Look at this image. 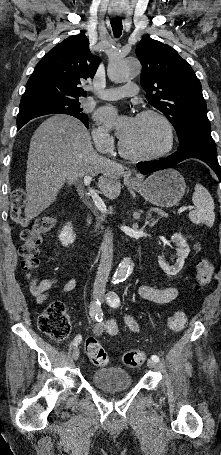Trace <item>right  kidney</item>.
I'll return each mask as SVG.
<instances>
[{
	"instance_id": "ca27d5eb",
	"label": "right kidney",
	"mask_w": 221,
	"mask_h": 455,
	"mask_svg": "<svg viewBox=\"0 0 221 455\" xmlns=\"http://www.w3.org/2000/svg\"><path fill=\"white\" fill-rule=\"evenodd\" d=\"M58 237L63 246H68L74 242L76 235L70 222L63 227Z\"/></svg>"
}]
</instances>
